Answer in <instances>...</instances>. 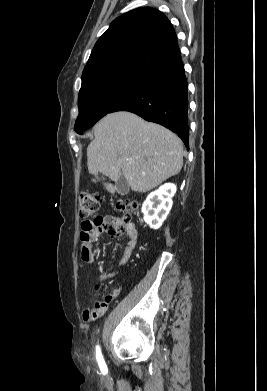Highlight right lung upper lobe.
<instances>
[{"label": "right lung upper lobe", "mask_w": 267, "mask_h": 391, "mask_svg": "<svg viewBox=\"0 0 267 391\" xmlns=\"http://www.w3.org/2000/svg\"><path fill=\"white\" fill-rule=\"evenodd\" d=\"M181 57L168 18L151 7H141L116 18L96 42L83 70L82 84L111 72L149 74Z\"/></svg>", "instance_id": "1"}]
</instances>
